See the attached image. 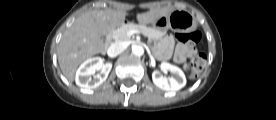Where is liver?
<instances>
[{
	"mask_svg": "<svg viewBox=\"0 0 276 120\" xmlns=\"http://www.w3.org/2000/svg\"><path fill=\"white\" fill-rule=\"evenodd\" d=\"M172 7L152 9L137 14L140 24H150L161 16L168 15ZM126 12L120 10H92L82 14L63 34L57 50L58 62L64 76L74 81L77 67L93 55L105 51L103 37L122 25Z\"/></svg>",
	"mask_w": 276,
	"mask_h": 120,
	"instance_id": "liver-1",
	"label": "liver"
}]
</instances>
